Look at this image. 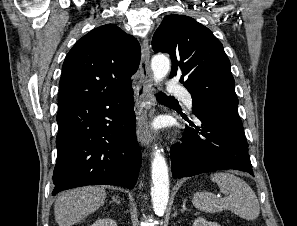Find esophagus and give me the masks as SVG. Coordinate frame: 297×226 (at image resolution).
I'll return each mask as SVG.
<instances>
[{
    "label": "esophagus",
    "instance_id": "esophagus-1",
    "mask_svg": "<svg viewBox=\"0 0 297 226\" xmlns=\"http://www.w3.org/2000/svg\"><path fill=\"white\" fill-rule=\"evenodd\" d=\"M135 96L137 104V138L142 145L149 146L152 142L148 121V111L152 105V82L148 39H145L142 44L140 79Z\"/></svg>",
    "mask_w": 297,
    "mask_h": 226
}]
</instances>
